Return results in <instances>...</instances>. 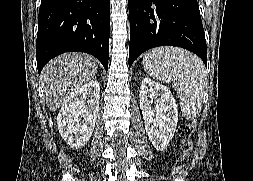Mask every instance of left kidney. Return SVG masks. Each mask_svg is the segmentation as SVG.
<instances>
[{"mask_svg": "<svg viewBox=\"0 0 253 181\" xmlns=\"http://www.w3.org/2000/svg\"><path fill=\"white\" fill-rule=\"evenodd\" d=\"M140 109L146 133L153 146L163 151L174 136L178 122V109L171 91L149 78L140 87Z\"/></svg>", "mask_w": 253, "mask_h": 181, "instance_id": "left-kidney-1", "label": "left kidney"}]
</instances>
